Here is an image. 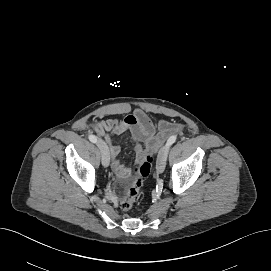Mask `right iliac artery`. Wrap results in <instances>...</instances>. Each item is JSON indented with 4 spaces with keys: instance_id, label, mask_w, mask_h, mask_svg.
<instances>
[{
    "instance_id": "1",
    "label": "right iliac artery",
    "mask_w": 271,
    "mask_h": 271,
    "mask_svg": "<svg viewBox=\"0 0 271 271\" xmlns=\"http://www.w3.org/2000/svg\"><path fill=\"white\" fill-rule=\"evenodd\" d=\"M89 140L91 141V142H93V143H96L97 142V137L96 136H94V135H89Z\"/></svg>"
}]
</instances>
